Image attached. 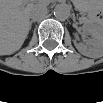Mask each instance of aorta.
Instances as JSON below:
<instances>
[{
    "label": "aorta",
    "mask_w": 103,
    "mask_h": 103,
    "mask_svg": "<svg viewBox=\"0 0 103 103\" xmlns=\"http://www.w3.org/2000/svg\"><path fill=\"white\" fill-rule=\"evenodd\" d=\"M54 16L60 21L68 19L70 16L69 6L65 3L56 5L54 8Z\"/></svg>",
    "instance_id": "aorta-1"
}]
</instances>
